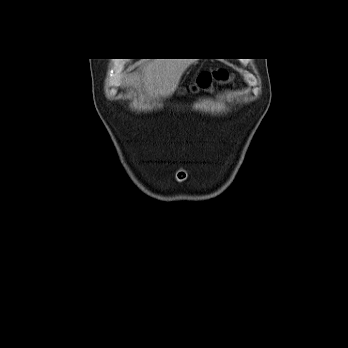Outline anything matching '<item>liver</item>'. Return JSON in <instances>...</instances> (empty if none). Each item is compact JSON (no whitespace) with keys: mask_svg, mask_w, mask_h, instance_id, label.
<instances>
[{"mask_svg":"<svg viewBox=\"0 0 348 348\" xmlns=\"http://www.w3.org/2000/svg\"><path fill=\"white\" fill-rule=\"evenodd\" d=\"M195 59H152L130 77V85L142 84L148 93L169 98L176 91L181 76Z\"/></svg>","mask_w":348,"mask_h":348,"instance_id":"obj_1","label":"liver"}]
</instances>
